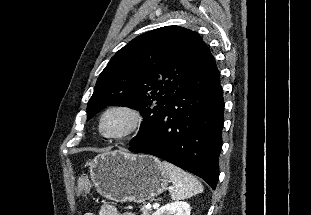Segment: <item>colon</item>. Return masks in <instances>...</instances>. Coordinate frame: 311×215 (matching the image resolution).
<instances>
[{"instance_id":"5ec220e1","label":"colon","mask_w":311,"mask_h":215,"mask_svg":"<svg viewBox=\"0 0 311 215\" xmlns=\"http://www.w3.org/2000/svg\"><path fill=\"white\" fill-rule=\"evenodd\" d=\"M90 191V181L87 176L82 175L79 177L76 186V193L80 197H85Z\"/></svg>"}]
</instances>
